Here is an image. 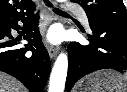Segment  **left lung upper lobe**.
<instances>
[{"label": "left lung upper lobe", "mask_w": 127, "mask_h": 92, "mask_svg": "<svg viewBox=\"0 0 127 92\" xmlns=\"http://www.w3.org/2000/svg\"><path fill=\"white\" fill-rule=\"evenodd\" d=\"M79 3L88 19H108L127 22V11L123 0H71Z\"/></svg>", "instance_id": "1"}]
</instances>
